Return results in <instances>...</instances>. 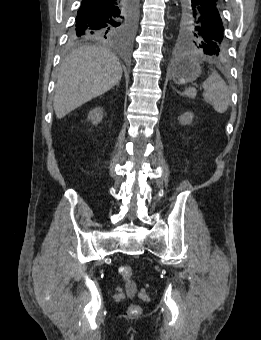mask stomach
Segmentation results:
<instances>
[{"label":"stomach","instance_id":"0dacf381","mask_svg":"<svg viewBox=\"0 0 261 340\" xmlns=\"http://www.w3.org/2000/svg\"><path fill=\"white\" fill-rule=\"evenodd\" d=\"M201 72L198 61L195 58H187L172 67L171 78L176 84H185L194 81Z\"/></svg>","mask_w":261,"mask_h":340}]
</instances>
